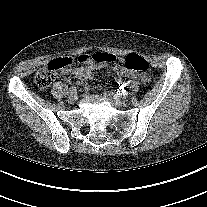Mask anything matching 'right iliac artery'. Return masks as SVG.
Masks as SVG:
<instances>
[{
  "label": "right iliac artery",
  "mask_w": 207,
  "mask_h": 207,
  "mask_svg": "<svg viewBox=\"0 0 207 207\" xmlns=\"http://www.w3.org/2000/svg\"><path fill=\"white\" fill-rule=\"evenodd\" d=\"M76 92H77V88L76 87H71L70 89H69V94L70 95H72V94H76Z\"/></svg>",
  "instance_id": "82829eb1"
}]
</instances>
